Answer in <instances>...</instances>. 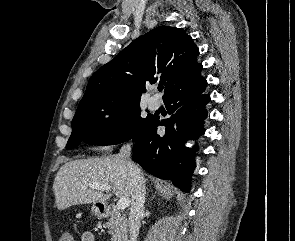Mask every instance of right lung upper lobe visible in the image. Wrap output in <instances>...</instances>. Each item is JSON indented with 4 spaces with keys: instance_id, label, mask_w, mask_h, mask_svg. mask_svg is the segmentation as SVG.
<instances>
[{
    "instance_id": "cb5924a9",
    "label": "right lung upper lobe",
    "mask_w": 295,
    "mask_h": 241,
    "mask_svg": "<svg viewBox=\"0 0 295 241\" xmlns=\"http://www.w3.org/2000/svg\"><path fill=\"white\" fill-rule=\"evenodd\" d=\"M191 36L160 26L140 36L90 78L79 105L109 99L139 102L145 84L164 83L163 99L203 80Z\"/></svg>"
}]
</instances>
